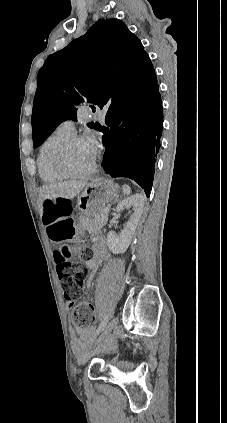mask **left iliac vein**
I'll return each mask as SVG.
<instances>
[{"label":"left iliac vein","instance_id":"4c4485c4","mask_svg":"<svg viewBox=\"0 0 227 423\" xmlns=\"http://www.w3.org/2000/svg\"><path fill=\"white\" fill-rule=\"evenodd\" d=\"M118 323H119L118 318H117V317H114V318H113V319L109 322V324H108V325H107V327L105 328L104 332L101 334V336H100V338H99V340H98V342H97V343H99L100 341H102L103 339H105L106 337H108V336H109V333H110L111 331H115V329H116V327H117Z\"/></svg>","mask_w":227,"mask_h":423}]
</instances>
